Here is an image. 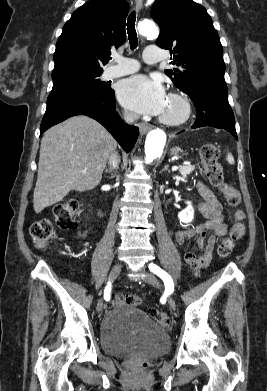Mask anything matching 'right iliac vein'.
<instances>
[{
	"label": "right iliac vein",
	"mask_w": 267,
	"mask_h": 391,
	"mask_svg": "<svg viewBox=\"0 0 267 391\" xmlns=\"http://www.w3.org/2000/svg\"><path fill=\"white\" fill-rule=\"evenodd\" d=\"M121 269H122V264L120 262L116 263L110 272L109 280L114 281L120 274ZM102 308H103V299L100 298L98 300L97 307H96L97 312H100Z\"/></svg>",
	"instance_id": "right-iliac-vein-1"
}]
</instances>
